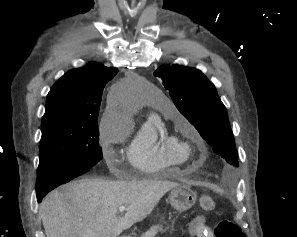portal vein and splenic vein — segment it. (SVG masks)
Masks as SVG:
<instances>
[{"instance_id": "1", "label": "portal vein and splenic vein", "mask_w": 297, "mask_h": 237, "mask_svg": "<svg viewBox=\"0 0 297 237\" xmlns=\"http://www.w3.org/2000/svg\"><path fill=\"white\" fill-rule=\"evenodd\" d=\"M125 210H126V207H124V206L119 207V212H124Z\"/></svg>"}]
</instances>
